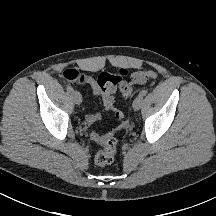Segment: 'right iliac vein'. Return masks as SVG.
<instances>
[{"mask_svg":"<svg viewBox=\"0 0 216 216\" xmlns=\"http://www.w3.org/2000/svg\"><path fill=\"white\" fill-rule=\"evenodd\" d=\"M71 96H72L73 102L75 104H77V105L81 104L82 96H81V94L79 92L74 91V92H72Z\"/></svg>","mask_w":216,"mask_h":216,"instance_id":"1","label":"right iliac vein"}]
</instances>
